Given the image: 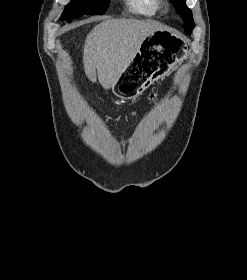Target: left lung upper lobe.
I'll list each match as a JSON object with an SVG mask.
<instances>
[{"mask_svg":"<svg viewBox=\"0 0 247 280\" xmlns=\"http://www.w3.org/2000/svg\"><path fill=\"white\" fill-rule=\"evenodd\" d=\"M177 12L181 15L182 20L184 21L186 32L190 33V31L194 27L193 17L191 10L185 5L186 0H173Z\"/></svg>","mask_w":247,"mask_h":280,"instance_id":"left-lung-upper-lobe-1","label":"left lung upper lobe"}]
</instances>
